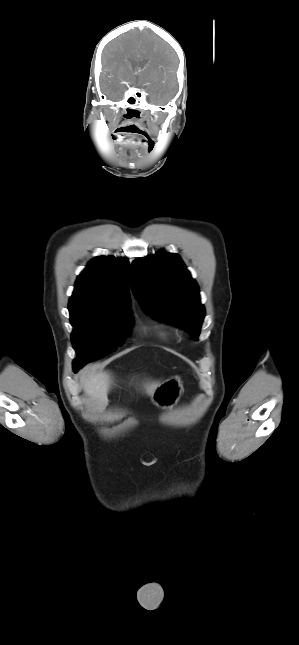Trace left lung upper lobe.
Masks as SVG:
<instances>
[{"mask_svg": "<svg viewBox=\"0 0 299 645\" xmlns=\"http://www.w3.org/2000/svg\"><path fill=\"white\" fill-rule=\"evenodd\" d=\"M131 286L147 314L171 322L189 332L200 334L205 316L199 288L180 257L159 251L132 263Z\"/></svg>", "mask_w": 299, "mask_h": 645, "instance_id": "5c2ea615", "label": "left lung upper lobe"}]
</instances>
